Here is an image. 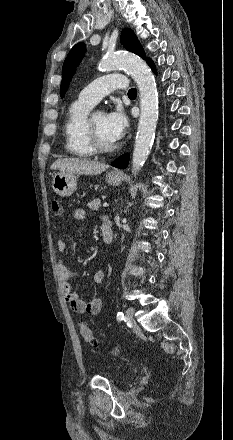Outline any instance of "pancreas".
<instances>
[{
    "mask_svg": "<svg viewBox=\"0 0 233 440\" xmlns=\"http://www.w3.org/2000/svg\"><path fill=\"white\" fill-rule=\"evenodd\" d=\"M101 206V200L100 199H94L90 203H88V207L92 211H97Z\"/></svg>",
    "mask_w": 233,
    "mask_h": 440,
    "instance_id": "obj_1",
    "label": "pancreas"
}]
</instances>
